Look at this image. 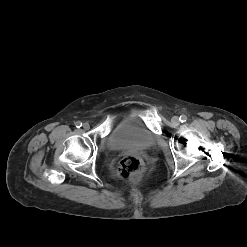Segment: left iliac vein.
I'll return each instance as SVG.
<instances>
[{"mask_svg": "<svg viewBox=\"0 0 247 247\" xmlns=\"http://www.w3.org/2000/svg\"><path fill=\"white\" fill-rule=\"evenodd\" d=\"M171 121H172L173 125H175V126L179 125V123H180L179 117H177V116H174Z\"/></svg>", "mask_w": 247, "mask_h": 247, "instance_id": "left-iliac-vein-1", "label": "left iliac vein"}]
</instances>
